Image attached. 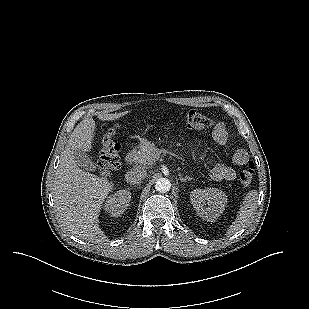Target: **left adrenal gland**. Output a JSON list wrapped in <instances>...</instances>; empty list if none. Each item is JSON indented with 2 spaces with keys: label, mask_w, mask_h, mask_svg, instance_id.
I'll return each mask as SVG.
<instances>
[{
  "label": "left adrenal gland",
  "mask_w": 309,
  "mask_h": 309,
  "mask_svg": "<svg viewBox=\"0 0 309 309\" xmlns=\"http://www.w3.org/2000/svg\"><path fill=\"white\" fill-rule=\"evenodd\" d=\"M179 180H180L181 182H185V181H187V180H192V178L189 177V176H186V177L180 176V177H179Z\"/></svg>",
  "instance_id": "a2214340"
}]
</instances>
